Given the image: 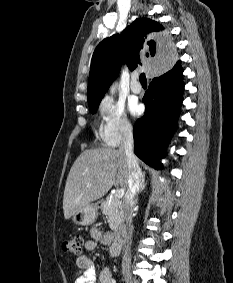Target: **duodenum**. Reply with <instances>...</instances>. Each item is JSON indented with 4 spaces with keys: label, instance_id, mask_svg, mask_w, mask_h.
I'll return each instance as SVG.
<instances>
[{
    "label": "duodenum",
    "instance_id": "duodenum-1",
    "mask_svg": "<svg viewBox=\"0 0 233 283\" xmlns=\"http://www.w3.org/2000/svg\"><path fill=\"white\" fill-rule=\"evenodd\" d=\"M127 239V231L125 228H119L114 237V246L120 252L122 245Z\"/></svg>",
    "mask_w": 233,
    "mask_h": 283
}]
</instances>
